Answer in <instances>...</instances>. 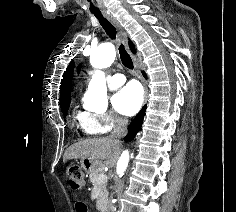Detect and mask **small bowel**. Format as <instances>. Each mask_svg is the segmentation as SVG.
<instances>
[{
  "mask_svg": "<svg viewBox=\"0 0 236 212\" xmlns=\"http://www.w3.org/2000/svg\"><path fill=\"white\" fill-rule=\"evenodd\" d=\"M90 200L89 199H76L74 201V212H90V209H88L87 205L84 204H89Z\"/></svg>",
  "mask_w": 236,
  "mask_h": 212,
  "instance_id": "c3829d8e",
  "label": "small bowel"
}]
</instances>
